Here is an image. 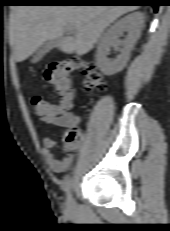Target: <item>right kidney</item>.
Here are the masks:
<instances>
[{
    "label": "right kidney",
    "instance_id": "1",
    "mask_svg": "<svg viewBox=\"0 0 170 231\" xmlns=\"http://www.w3.org/2000/svg\"><path fill=\"white\" fill-rule=\"evenodd\" d=\"M143 27L144 14L134 12L118 20L103 34L96 52V65L101 72L111 76L126 66L130 52L140 37ZM123 32H127V35L124 41H120L118 36ZM120 44H123L120 54L115 59L108 58L111 47H117Z\"/></svg>",
    "mask_w": 170,
    "mask_h": 231
}]
</instances>
